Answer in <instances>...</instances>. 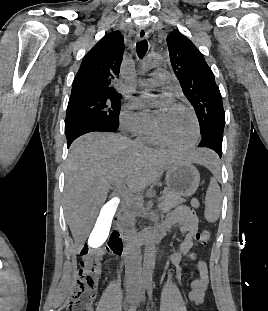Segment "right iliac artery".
<instances>
[{
  "instance_id": "obj_1",
  "label": "right iliac artery",
  "mask_w": 268,
  "mask_h": 311,
  "mask_svg": "<svg viewBox=\"0 0 268 311\" xmlns=\"http://www.w3.org/2000/svg\"><path fill=\"white\" fill-rule=\"evenodd\" d=\"M147 288V281L146 280H142L141 285L139 287V290L137 292V296L134 299L133 303L131 304L130 308L128 311H136L138 304L141 300L142 295L145 292V289Z\"/></svg>"
}]
</instances>
